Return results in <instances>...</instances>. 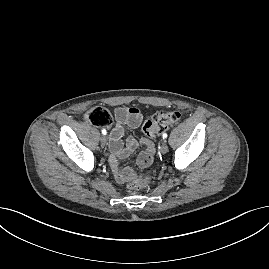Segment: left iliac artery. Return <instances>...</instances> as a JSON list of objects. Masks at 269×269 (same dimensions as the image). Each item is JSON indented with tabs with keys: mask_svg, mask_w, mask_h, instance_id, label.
<instances>
[{
	"mask_svg": "<svg viewBox=\"0 0 269 269\" xmlns=\"http://www.w3.org/2000/svg\"><path fill=\"white\" fill-rule=\"evenodd\" d=\"M162 138H163V139H166V138H167V134H166V133H163V134H162Z\"/></svg>",
	"mask_w": 269,
	"mask_h": 269,
	"instance_id": "obj_1",
	"label": "left iliac artery"
}]
</instances>
